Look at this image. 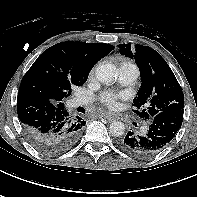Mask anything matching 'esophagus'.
Masks as SVG:
<instances>
[{"label":"esophagus","instance_id":"34e87169","mask_svg":"<svg viewBox=\"0 0 197 197\" xmlns=\"http://www.w3.org/2000/svg\"><path fill=\"white\" fill-rule=\"evenodd\" d=\"M100 118L106 119L108 122H112L115 120V116L110 113H103Z\"/></svg>","mask_w":197,"mask_h":197}]
</instances>
